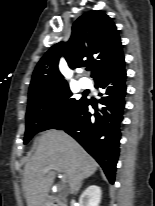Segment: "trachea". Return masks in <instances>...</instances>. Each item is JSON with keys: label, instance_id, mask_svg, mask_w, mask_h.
I'll list each match as a JSON object with an SVG mask.
<instances>
[{"label": "trachea", "instance_id": "3493384b", "mask_svg": "<svg viewBox=\"0 0 155 206\" xmlns=\"http://www.w3.org/2000/svg\"><path fill=\"white\" fill-rule=\"evenodd\" d=\"M91 70V68H88V71H90Z\"/></svg>", "mask_w": 155, "mask_h": 206}]
</instances>
